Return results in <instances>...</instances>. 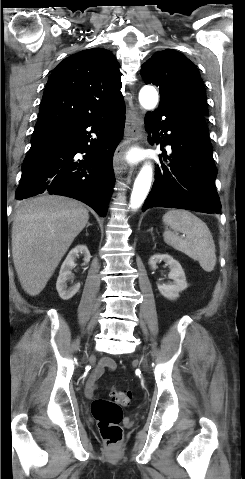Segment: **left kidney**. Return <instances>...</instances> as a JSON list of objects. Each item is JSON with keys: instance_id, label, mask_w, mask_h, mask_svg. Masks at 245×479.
Masks as SVG:
<instances>
[{"instance_id": "5707ae66", "label": "left kidney", "mask_w": 245, "mask_h": 479, "mask_svg": "<svg viewBox=\"0 0 245 479\" xmlns=\"http://www.w3.org/2000/svg\"><path fill=\"white\" fill-rule=\"evenodd\" d=\"M161 261H164L169 267L170 273L168 274V278L172 281L162 284L158 283V290L167 299H177L179 293L187 288L185 273L180 263L168 254H155L150 257L148 263L152 270H155L157 263Z\"/></svg>"}]
</instances>
